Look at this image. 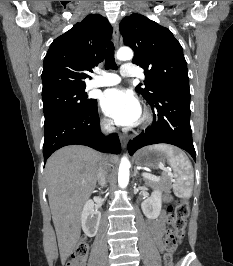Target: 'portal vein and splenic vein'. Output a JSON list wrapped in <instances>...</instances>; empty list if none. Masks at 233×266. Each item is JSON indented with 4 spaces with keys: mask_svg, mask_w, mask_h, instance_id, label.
Here are the masks:
<instances>
[{
    "mask_svg": "<svg viewBox=\"0 0 233 266\" xmlns=\"http://www.w3.org/2000/svg\"><path fill=\"white\" fill-rule=\"evenodd\" d=\"M167 172H168V175H172V173H171L170 170H167ZM142 176H143L144 178H147V179L152 180V181H160V180H161L160 177L155 176V175H152V174H150V173H142Z\"/></svg>",
    "mask_w": 233,
    "mask_h": 266,
    "instance_id": "portal-vein-and-splenic-vein-1",
    "label": "portal vein and splenic vein"
}]
</instances>
